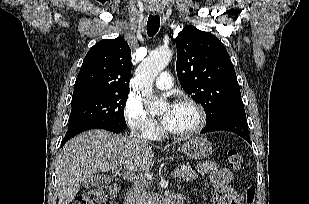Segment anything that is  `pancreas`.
<instances>
[{"mask_svg":"<svg viewBox=\"0 0 309 204\" xmlns=\"http://www.w3.org/2000/svg\"><path fill=\"white\" fill-rule=\"evenodd\" d=\"M176 176L186 182H192L197 177L190 166H187L185 169H177Z\"/></svg>","mask_w":309,"mask_h":204,"instance_id":"obj_1","label":"pancreas"}]
</instances>
